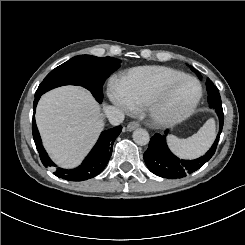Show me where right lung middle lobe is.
Listing matches in <instances>:
<instances>
[{
    "instance_id": "1",
    "label": "right lung middle lobe",
    "mask_w": 245,
    "mask_h": 245,
    "mask_svg": "<svg viewBox=\"0 0 245 245\" xmlns=\"http://www.w3.org/2000/svg\"><path fill=\"white\" fill-rule=\"evenodd\" d=\"M119 66L120 60L112 57L75 56L52 70L39 85L35 95L41 96L62 85H80L89 89L101 103L104 81Z\"/></svg>"
}]
</instances>
